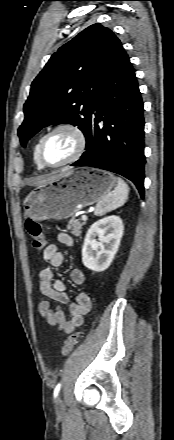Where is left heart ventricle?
I'll list each match as a JSON object with an SVG mask.
<instances>
[{
  "instance_id": "1",
  "label": "left heart ventricle",
  "mask_w": 174,
  "mask_h": 440,
  "mask_svg": "<svg viewBox=\"0 0 174 440\" xmlns=\"http://www.w3.org/2000/svg\"><path fill=\"white\" fill-rule=\"evenodd\" d=\"M75 147L74 136L67 131H59L46 139L42 148V156L46 163L56 165L69 158Z\"/></svg>"
}]
</instances>
